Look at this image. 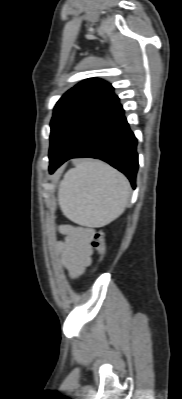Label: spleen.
<instances>
[{
    "label": "spleen",
    "instance_id": "obj_1",
    "mask_svg": "<svg viewBox=\"0 0 182 399\" xmlns=\"http://www.w3.org/2000/svg\"><path fill=\"white\" fill-rule=\"evenodd\" d=\"M130 194V184L122 173L102 161L83 160L64 175L58 201L71 221L99 227L124 212Z\"/></svg>",
    "mask_w": 182,
    "mask_h": 399
}]
</instances>
